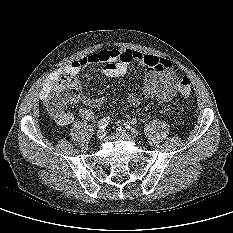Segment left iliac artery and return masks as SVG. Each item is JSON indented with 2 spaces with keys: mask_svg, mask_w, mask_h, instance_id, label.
Instances as JSON below:
<instances>
[{
  "mask_svg": "<svg viewBox=\"0 0 233 233\" xmlns=\"http://www.w3.org/2000/svg\"><path fill=\"white\" fill-rule=\"evenodd\" d=\"M129 123L135 125L137 123V120L135 118H132Z\"/></svg>",
  "mask_w": 233,
  "mask_h": 233,
  "instance_id": "obj_1",
  "label": "left iliac artery"
}]
</instances>
